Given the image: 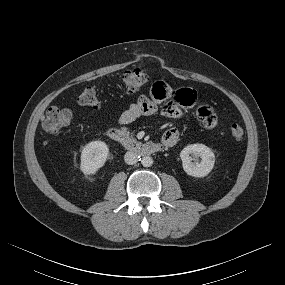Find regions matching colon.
I'll return each instance as SVG.
<instances>
[{
  "instance_id": "5ec220e1",
  "label": "colon",
  "mask_w": 285,
  "mask_h": 285,
  "mask_svg": "<svg viewBox=\"0 0 285 285\" xmlns=\"http://www.w3.org/2000/svg\"><path fill=\"white\" fill-rule=\"evenodd\" d=\"M148 82V75L140 69L127 71L121 78L122 87L126 93L135 92ZM77 101L80 105L93 109L101 105L98 92L93 87H86L78 96ZM72 121L73 114L69 109L50 107L42 120V128L49 134H57L68 127ZM244 133V128L239 124H232L229 127V135L236 141L242 140Z\"/></svg>"
}]
</instances>
